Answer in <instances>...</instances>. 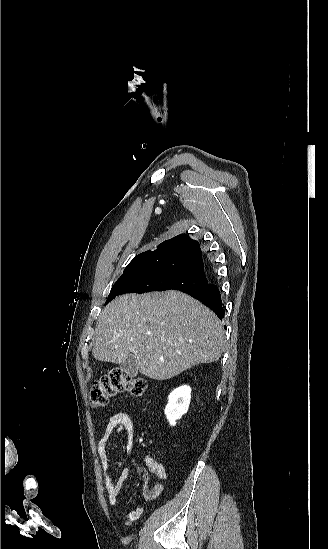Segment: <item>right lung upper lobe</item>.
Listing matches in <instances>:
<instances>
[{"label":"right lung upper lobe","mask_w":328,"mask_h":549,"mask_svg":"<svg viewBox=\"0 0 328 549\" xmlns=\"http://www.w3.org/2000/svg\"><path fill=\"white\" fill-rule=\"evenodd\" d=\"M203 255L199 243L187 234L166 240L154 251L137 255L124 271L133 269H168L205 277Z\"/></svg>","instance_id":"right-lung-upper-lobe-1"}]
</instances>
